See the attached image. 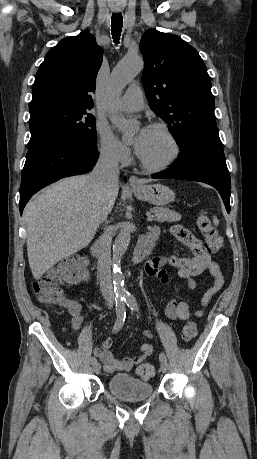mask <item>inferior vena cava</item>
Segmentation results:
<instances>
[{
	"label": "inferior vena cava",
	"mask_w": 257,
	"mask_h": 459,
	"mask_svg": "<svg viewBox=\"0 0 257 459\" xmlns=\"http://www.w3.org/2000/svg\"><path fill=\"white\" fill-rule=\"evenodd\" d=\"M119 158L113 150H103L92 172V177L97 188L109 195L117 187L119 179ZM98 223H105L104 232L99 237L97 248V270L100 282V290L109 306L113 305L114 293L111 280V226L108 224V211L105 208L98 214Z\"/></svg>",
	"instance_id": "inferior-vena-cava-1"
}]
</instances>
